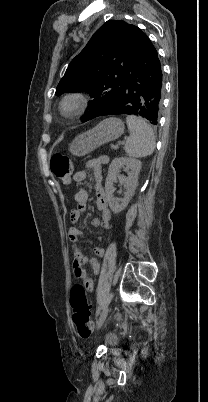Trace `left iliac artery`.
Returning a JSON list of instances; mask_svg holds the SVG:
<instances>
[{
	"instance_id": "44dca946",
	"label": "left iliac artery",
	"mask_w": 208,
	"mask_h": 402,
	"mask_svg": "<svg viewBox=\"0 0 208 402\" xmlns=\"http://www.w3.org/2000/svg\"><path fill=\"white\" fill-rule=\"evenodd\" d=\"M99 314H100V308L97 309L96 316H98Z\"/></svg>"
}]
</instances>
